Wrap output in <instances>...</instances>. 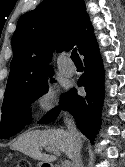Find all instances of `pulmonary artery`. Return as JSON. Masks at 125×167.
Listing matches in <instances>:
<instances>
[{
    "instance_id": "pulmonary-artery-1",
    "label": "pulmonary artery",
    "mask_w": 125,
    "mask_h": 167,
    "mask_svg": "<svg viewBox=\"0 0 125 167\" xmlns=\"http://www.w3.org/2000/svg\"><path fill=\"white\" fill-rule=\"evenodd\" d=\"M65 60L67 59H63L59 62V70L64 76L72 77L75 74L76 68L74 66H66L64 63Z\"/></svg>"
}]
</instances>
